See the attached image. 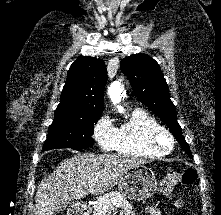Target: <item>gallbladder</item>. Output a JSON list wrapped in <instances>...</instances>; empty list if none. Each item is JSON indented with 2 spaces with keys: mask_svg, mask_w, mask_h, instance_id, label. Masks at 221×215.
<instances>
[{
  "mask_svg": "<svg viewBox=\"0 0 221 215\" xmlns=\"http://www.w3.org/2000/svg\"><path fill=\"white\" fill-rule=\"evenodd\" d=\"M68 201H59V203L56 205V211L60 212L66 209L68 206Z\"/></svg>",
  "mask_w": 221,
  "mask_h": 215,
  "instance_id": "gallbladder-1",
  "label": "gallbladder"
}]
</instances>
